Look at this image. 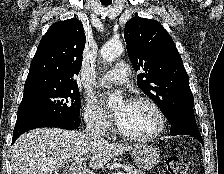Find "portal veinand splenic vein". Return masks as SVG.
I'll use <instances>...</instances> for the list:
<instances>
[{"label":"portal vein and splenic vein","mask_w":224,"mask_h":174,"mask_svg":"<svg viewBox=\"0 0 224 174\" xmlns=\"http://www.w3.org/2000/svg\"><path fill=\"white\" fill-rule=\"evenodd\" d=\"M83 161H84V158H75L74 159V163L76 165H80ZM117 174H125V173L120 172V173H117Z\"/></svg>","instance_id":"18ae733b"}]
</instances>
